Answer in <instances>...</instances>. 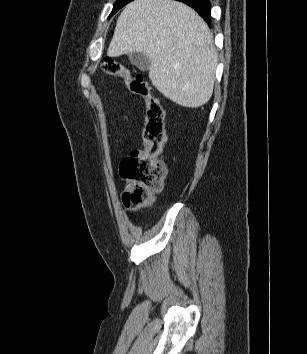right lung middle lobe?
I'll use <instances>...</instances> for the list:
<instances>
[{
	"label": "right lung middle lobe",
	"mask_w": 307,
	"mask_h": 354,
	"mask_svg": "<svg viewBox=\"0 0 307 354\" xmlns=\"http://www.w3.org/2000/svg\"><path fill=\"white\" fill-rule=\"evenodd\" d=\"M132 0H117L113 6V10L111 12V14L109 15L112 16L113 14H115L120 8H122L124 5H126L127 3L131 2Z\"/></svg>",
	"instance_id": "right-lung-middle-lobe-1"
}]
</instances>
